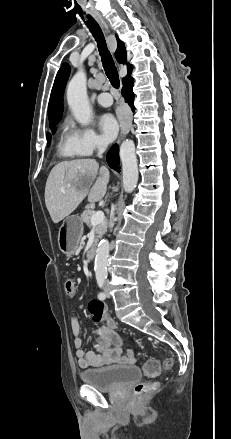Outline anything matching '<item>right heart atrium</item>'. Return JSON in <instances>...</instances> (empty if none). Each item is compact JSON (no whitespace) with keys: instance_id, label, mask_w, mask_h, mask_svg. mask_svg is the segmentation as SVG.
<instances>
[{"instance_id":"right-heart-atrium-1","label":"right heart atrium","mask_w":231,"mask_h":439,"mask_svg":"<svg viewBox=\"0 0 231 439\" xmlns=\"http://www.w3.org/2000/svg\"><path fill=\"white\" fill-rule=\"evenodd\" d=\"M72 144L78 155L90 156L106 148V142L90 127L73 126Z\"/></svg>"}]
</instances>
